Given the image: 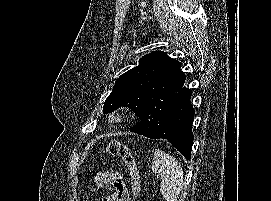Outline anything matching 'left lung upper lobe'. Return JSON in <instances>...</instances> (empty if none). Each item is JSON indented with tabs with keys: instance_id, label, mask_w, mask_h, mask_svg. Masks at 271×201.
Returning <instances> with one entry per match:
<instances>
[{
	"instance_id": "1",
	"label": "left lung upper lobe",
	"mask_w": 271,
	"mask_h": 201,
	"mask_svg": "<svg viewBox=\"0 0 271 201\" xmlns=\"http://www.w3.org/2000/svg\"><path fill=\"white\" fill-rule=\"evenodd\" d=\"M181 63L161 51L143 56L139 65L122 74L107 97L103 113L123 106L140 119L142 135L159 139L184 82Z\"/></svg>"
}]
</instances>
